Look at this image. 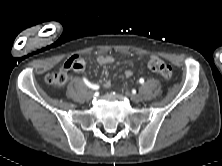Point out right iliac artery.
<instances>
[{
    "label": "right iliac artery",
    "mask_w": 222,
    "mask_h": 166,
    "mask_svg": "<svg viewBox=\"0 0 222 166\" xmlns=\"http://www.w3.org/2000/svg\"><path fill=\"white\" fill-rule=\"evenodd\" d=\"M83 80H84V83H85L89 88H91V89H93V90H97V89L99 88L98 85L90 83L87 79L84 78Z\"/></svg>",
    "instance_id": "82829eb1"
}]
</instances>
